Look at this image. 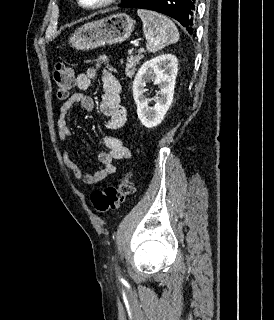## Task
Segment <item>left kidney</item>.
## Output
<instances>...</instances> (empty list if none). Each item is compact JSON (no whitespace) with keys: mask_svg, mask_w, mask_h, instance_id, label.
<instances>
[{"mask_svg":"<svg viewBox=\"0 0 274 320\" xmlns=\"http://www.w3.org/2000/svg\"><path fill=\"white\" fill-rule=\"evenodd\" d=\"M177 72L178 60L172 54L156 56L138 70L132 90L138 118L145 128H155L165 118L172 104ZM148 82H154L160 88L159 96H155L156 104L153 108L148 106V94L146 96L145 88Z\"/></svg>","mask_w":274,"mask_h":320,"instance_id":"1","label":"left kidney"}]
</instances>
